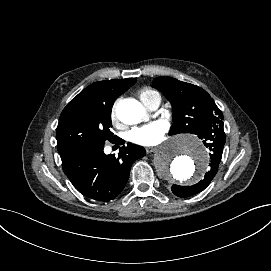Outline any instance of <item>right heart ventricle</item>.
I'll list each match as a JSON object with an SVG mask.
<instances>
[{
	"mask_svg": "<svg viewBox=\"0 0 271 271\" xmlns=\"http://www.w3.org/2000/svg\"><path fill=\"white\" fill-rule=\"evenodd\" d=\"M138 95L143 103L151 97H160V94L150 87H142L141 89H139Z\"/></svg>",
	"mask_w": 271,
	"mask_h": 271,
	"instance_id": "right-heart-ventricle-1",
	"label": "right heart ventricle"
}]
</instances>
